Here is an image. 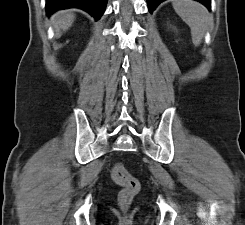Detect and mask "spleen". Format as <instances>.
<instances>
[{
	"label": "spleen",
	"instance_id": "1",
	"mask_svg": "<svg viewBox=\"0 0 245 225\" xmlns=\"http://www.w3.org/2000/svg\"><path fill=\"white\" fill-rule=\"evenodd\" d=\"M175 12L190 27L192 41L199 46L211 22L208 10L193 0H172Z\"/></svg>",
	"mask_w": 245,
	"mask_h": 225
}]
</instances>
